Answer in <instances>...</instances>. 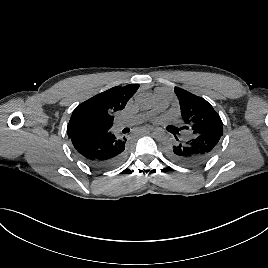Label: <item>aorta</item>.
<instances>
[{
  "instance_id": "762f6f07",
  "label": "aorta",
  "mask_w": 268,
  "mask_h": 268,
  "mask_svg": "<svg viewBox=\"0 0 268 268\" xmlns=\"http://www.w3.org/2000/svg\"><path fill=\"white\" fill-rule=\"evenodd\" d=\"M151 97L147 94H139L136 98V105L139 108H147L150 104ZM166 135L163 131L158 130L153 133V140L161 143L165 140Z\"/></svg>"
}]
</instances>
